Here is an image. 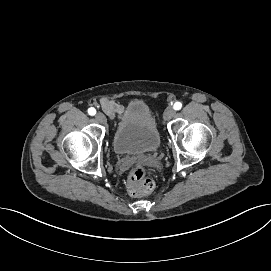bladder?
I'll list each match as a JSON object with an SVG mask.
<instances>
[{
    "label": "bladder",
    "mask_w": 271,
    "mask_h": 271,
    "mask_svg": "<svg viewBox=\"0 0 271 271\" xmlns=\"http://www.w3.org/2000/svg\"><path fill=\"white\" fill-rule=\"evenodd\" d=\"M161 135L154 118L142 102H133L129 117L123 118L113 135V149L116 155L151 153L159 149Z\"/></svg>",
    "instance_id": "1"
}]
</instances>
